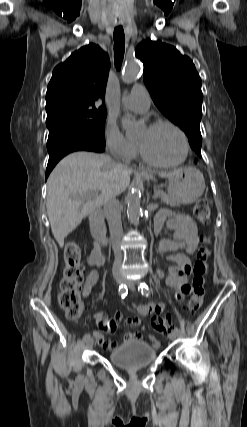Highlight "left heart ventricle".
I'll use <instances>...</instances> for the list:
<instances>
[{"label": "left heart ventricle", "instance_id": "1", "mask_svg": "<svg viewBox=\"0 0 247 427\" xmlns=\"http://www.w3.org/2000/svg\"><path fill=\"white\" fill-rule=\"evenodd\" d=\"M137 142L152 159L157 161L174 162L182 155L181 138L167 126L144 128L138 135Z\"/></svg>", "mask_w": 247, "mask_h": 427}]
</instances>
